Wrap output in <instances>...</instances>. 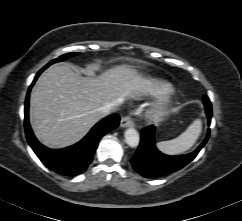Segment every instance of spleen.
I'll list each match as a JSON object with an SVG mask.
<instances>
[{
  "mask_svg": "<svg viewBox=\"0 0 242 221\" xmlns=\"http://www.w3.org/2000/svg\"><path fill=\"white\" fill-rule=\"evenodd\" d=\"M202 131V121L196 119L175 139L157 143V148L168 155H178L189 150L197 141Z\"/></svg>",
  "mask_w": 242,
  "mask_h": 221,
  "instance_id": "1",
  "label": "spleen"
}]
</instances>
